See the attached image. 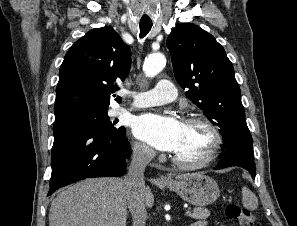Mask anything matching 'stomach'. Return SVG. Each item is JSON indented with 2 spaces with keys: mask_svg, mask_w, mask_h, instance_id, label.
<instances>
[{
  "mask_svg": "<svg viewBox=\"0 0 297 226\" xmlns=\"http://www.w3.org/2000/svg\"><path fill=\"white\" fill-rule=\"evenodd\" d=\"M166 185L182 199L197 206L213 203L220 194L217 182L202 173L189 174Z\"/></svg>",
  "mask_w": 297,
  "mask_h": 226,
  "instance_id": "obj_1",
  "label": "stomach"
}]
</instances>
